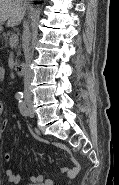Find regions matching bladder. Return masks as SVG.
Listing matches in <instances>:
<instances>
[{
  "instance_id": "31cf9c89",
  "label": "bladder",
  "mask_w": 119,
  "mask_h": 185,
  "mask_svg": "<svg viewBox=\"0 0 119 185\" xmlns=\"http://www.w3.org/2000/svg\"><path fill=\"white\" fill-rule=\"evenodd\" d=\"M28 185H38V184H28Z\"/></svg>"
}]
</instances>
